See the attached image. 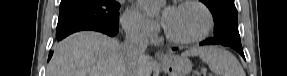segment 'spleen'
<instances>
[{
    "label": "spleen",
    "instance_id": "1",
    "mask_svg": "<svg viewBox=\"0 0 287 76\" xmlns=\"http://www.w3.org/2000/svg\"><path fill=\"white\" fill-rule=\"evenodd\" d=\"M183 56H198L204 63L208 64L216 76H245L237 58L218 46L195 47L186 51Z\"/></svg>",
    "mask_w": 287,
    "mask_h": 76
}]
</instances>
